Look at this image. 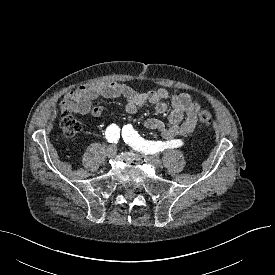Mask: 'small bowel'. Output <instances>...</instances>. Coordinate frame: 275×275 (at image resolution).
I'll return each instance as SVG.
<instances>
[{
	"instance_id": "1",
	"label": "small bowel",
	"mask_w": 275,
	"mask_h": 275,
	"mask_svg": "<svg viewBox=\"0 0 275 275\" xmlns=\"http://www.w3.org/2000/svg\"><path fill=\"white\" fill-rule=\"evenodd\" d=\"M99 97L121 98L126 101V112L135 114L144 104H152L155 110L162 114L168 110V100L172 110L166 122L158 118H148L144 125L151 130L159 131L166 140L177 136H186L196 127L197 114L200 109L198 102L187 93L171 94L164 88L139 92L125 84L116 82H94L78 87L65 93L59 108L78 115L99 117L104 109L93 106V101Z\"/></svg>"
}]
</instances>
